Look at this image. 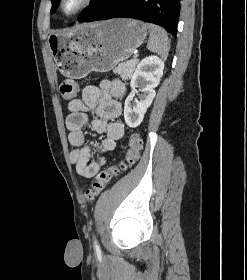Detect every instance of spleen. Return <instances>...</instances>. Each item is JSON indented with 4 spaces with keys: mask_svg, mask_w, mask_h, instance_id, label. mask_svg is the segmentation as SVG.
Here are the masks:
<instances>
[{
    "mask_svg": "<svg viewBox=\"0 0 247 280\" xmlns=\"http://www.w3.org/2000/svg\"><path fill=\"white\" fill-rule=\"evenodd\" d=\"M146 27L149 29L148 50L158 53L162 58H167L170 46L166 32L161 27L151 23H147Z\"/></svg>",
    "mask_w": 247,
    "mask_h": 280,
    "instance_id": "spleen-1",
    "label": "spleen"
}]
</instances>
